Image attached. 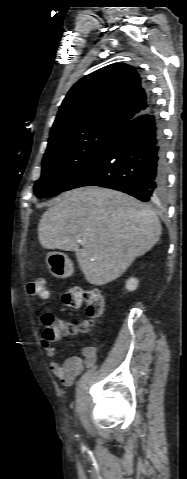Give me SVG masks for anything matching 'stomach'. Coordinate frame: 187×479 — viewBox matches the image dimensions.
Here are the masks:
<instances>
[{
	"instance_id": "stomach-1",
	"label": "stomach",
	"mask_w": 187,
	"mask_h": 479,
	"mask_svg": "<svg viewBox=\"0 0 187 479\" xmlns=\"http://www.w3.org/2000/svg\"><path fill=\"white\" fill-rule=\"evenodd\" d=\"M46 263L51 274L57 278H67L73 273V264L64 253L49 252Z\"/></svg>"
}]
</instances>
